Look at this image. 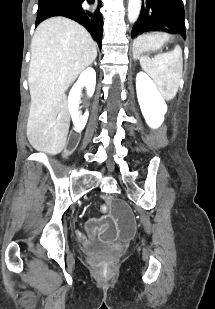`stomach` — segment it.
<instances>
[{
    "mask_svg": "<svg viewBox=\"0 0 215 309\" xmlns=\"http://www.w3.org/2000/svg\"><path fill=\"white\" fill-rule=\"evenodd\" d=\"M170 44H175V42L173 36L166 32L146 33L133 41V56L139 58L145 54L157 52ZM175 49L180 51L178 47H175Z\"/></svg>",
    "mask_w": 215,
    "mask_h": 309,
    "instance_id": "1",
    "label": "stomach"
}]
</instances>
